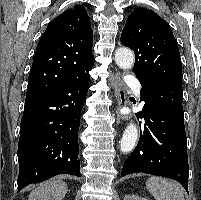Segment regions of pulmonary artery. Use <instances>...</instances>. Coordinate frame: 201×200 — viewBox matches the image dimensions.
Instances as JSON below:
<instances>
[{
  "label": "pulmonary artery",
  "mask_w": 201,
  "mask_h": 200,
  "mask_svg": "<svg viewBox=\"0 0 201 200\" xmlns=\"http://www.w3.org/2000/svg\"><path fill=\"white\" fill-rule=\"evenodd\" d=\"M125 80H126V83L129 84L130 86L135 88H140V83L134 75H131V74L127 75ZM137 93L139 94V92Z\"/></svg>",
  "instance_id": "1"
}]
</instances>
